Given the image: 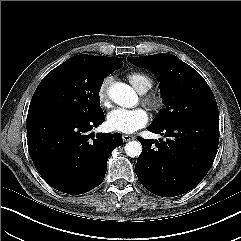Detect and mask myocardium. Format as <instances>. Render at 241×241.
<instances>
[{
	"label": "myocardium",
	"instance_id": "myocardium-1",
	"mask_svg": "<svg viewBox=\"0 0 241 241\" xmlns=\"http://www.w3.org/2000/svg\"><path fill=\"white\" fill-rule=\"evenodd\" d=\"M145 104L154 111H159L163 106V99L158 94H148L144 97Z\"/></svg>",
	"mask_w": 241,
	"mask_h": 241
}]
</instances>
